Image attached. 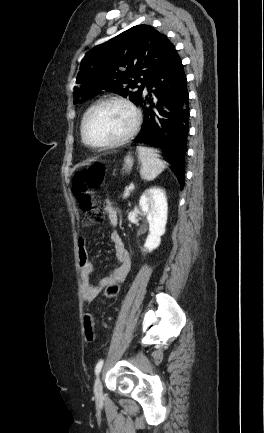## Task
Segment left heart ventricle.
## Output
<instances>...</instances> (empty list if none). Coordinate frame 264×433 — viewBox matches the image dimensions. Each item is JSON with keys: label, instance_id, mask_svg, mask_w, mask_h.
I'll list each match as a JSON object with an SVG mask.
<instances>
[{"label": "left heart ventricle", "instance_id": "b2bd125f", "mask_svg": "<svg viewBox=\"0 0 264 433\" xmlns=\"http://www.w3.org/2000/svg\"><path fill=\"white\" fill-rule=\"evenodd\" d=\"M132 114L119 104H106L89 118L86 133L90 141L99 144L124 135L132 125Z\"/></svg>", "mask_w": 264, "mask_h": 433}]
</instances>
